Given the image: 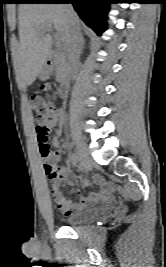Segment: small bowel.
<instances>
[{
	"instance_id": "1",
	"label": "small bowel",
	"mask_w": 166,
	"mask_h": 267,
	"mask_svg": "<svg viewBox=\"0 0 166 267\" xmlns=\"http://www.w3.org/2000/svg\"><path fill=\"white\" fill-rule=\"evenodd\" d=\"M65 123V114L62 109L59 110L58 115L48 122V130H51L57 127L56 133L52 139V145L58 147L60 145V137L62 127ZM60 158V153L58 151L52 152L48 161L56 163ZM58 176L55 179H52L51 183V194L54 198V201L58 209L65 215H71L76 212L83 210L84 208L96 203L99 200H106L109 196V191L111 186L109 184H103L101 190L98 193H90L88 196H80L79 201L72 202L64 196L60 190V180H68V172L66 167H59ZM94 183H102V178L98 175H95L92 178Z\"/></svg>"
}]
</instances>
